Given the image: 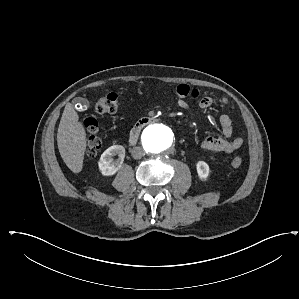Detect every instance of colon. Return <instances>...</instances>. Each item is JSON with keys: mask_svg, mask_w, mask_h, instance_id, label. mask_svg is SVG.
I'll list each match as a JSON object with an SVG mask.
<instances>
[{"mask_svg": "<svg viewBox=\"0 0 299 299\" xmlns=\"http://www.w3.org/2000/svg\"><path fill=\"white\" fill-rule=\"evenodd\" d=\"M118 105V96L115 93H108L97 100L95 110L98 114H110L117 111ZM84 127L88 133L86 155L89 158H94L101 148V140L98 136V123L94 118H86ZM242 163L243 160L240 157H235L231 161V165L234 168H239Z\"/></svg>", "mask_w": 299, "mask_h": 299, "instance_id": "obj_1", "label": "colon"}]
</instances>
